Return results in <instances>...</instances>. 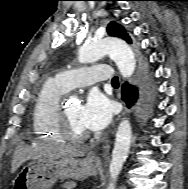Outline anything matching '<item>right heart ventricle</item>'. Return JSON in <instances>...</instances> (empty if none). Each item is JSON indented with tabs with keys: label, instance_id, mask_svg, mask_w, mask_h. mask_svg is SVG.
<instances>
[{
	"label": "right heart ventricle",
	"instance_id": "1",
	"mask_svg": "<svg viewBox=\"0 0 188 189\" xmlns=\"http://www.w3.org/2000/svg\"><path fill=\"white\" fill-rule=\"evenodd\" d=\"M67 92L56 80H45L34 100L32 109V129L35 136L51 142L64 140L58 125L61 98Z\"/></svg>",
	"mask_w": 188,
	"mask_h": 189
}]
</instances>
